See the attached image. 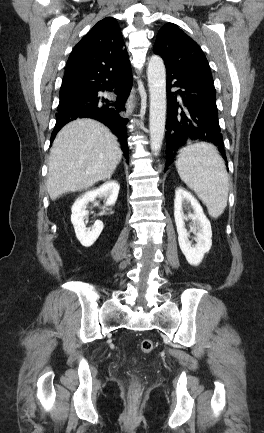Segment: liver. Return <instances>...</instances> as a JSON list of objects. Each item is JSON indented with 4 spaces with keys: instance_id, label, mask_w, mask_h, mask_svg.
Listing matches in <instances>:
<instances>
[{
    "instance_id": "obj_1",
    "label": "liver",
    "mask_w": 264,
    "mask_h": 433,
    "mask_svg": "<svg viewBox=\"0 0 264 433\" xmlns=\"http://www.w3.org/2000/svg\"><path fill=\"white\" fill-rule=\"evenodd\" d=\"M121 158L117 138L107 127L92 119L70 122L50 149L47 190L51 200L109 179Z\"/></svg>"
}]
</instances>
